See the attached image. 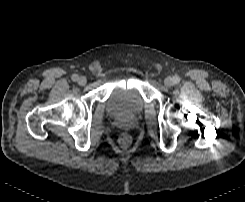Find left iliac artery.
<instances>
[{
	"mask_svg": "<svg viewBox=\"0 0 245 202\" xmlns=\"http://www.w3.org/2000/svg\"><path fill=\"white\" fill-rule=\"evenodd\" d=\"M174 83L178 84L180 82V77L179 76H174L173 77Z\"/></svg>",
	"mask_w": 245,
	"mask_h": 202,
	"instance_id": "1",
	"label": "left iliac artery"
}]
</instances>
